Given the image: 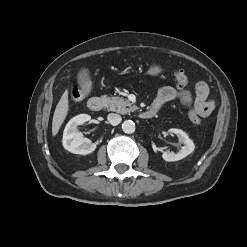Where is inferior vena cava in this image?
I'll return each instance as SVG.
<instances>
[{
    "label": "inferior vena cava",
    "instance_id": "602c4592",
    "mask_svg": "<svg viewBox=\"0 0 247 247\" xmlns=\"http://www.w3.org/2000/svg\"><path fill=\"white\" fill-rule=\"evenodd\" d=\"M107 119H108L109 123L113 126L118 125L122 120L121 116L119 114H115V113L108 114Z\"/></svg>",
    "mask_w": 247,
    "mask_h": 247
}]
</instances>
